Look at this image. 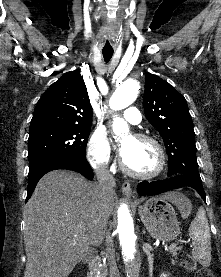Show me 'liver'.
I'll return each mask as SVG.
<instances>
[{"label":"liver","mask_w":221,"mask_h":277,"mask_svg":"<svg viewBox=\"0 0 221 277\" xmlns=\"http://www.w3.org/2000/svg\"><path fill=\"white\" fill-rule=\"evenodd\" d=\"M164 199L179 205L186 198L170 192ZM114 206L115 193L104 208L98 184L78 173L56 170L45 174L24 210V277H67L90 246L103 240Z\"/></svg>","instance_id":"liver-1"}]
</instances>
